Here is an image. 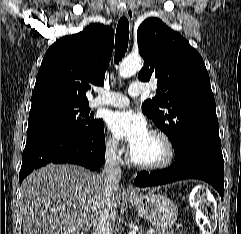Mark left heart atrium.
Listing matches in <instances>:
<instances>
[{
  "label": "left heart atrium",
  "mask_w": 241,
  "mask_h": 234,
  "mask_svg": "<svg viewBox=\"0 0 241 234\" xmlns=\"http://www.w3.org/2000/svg\"><path fill=\"white\" fill-rule=\"evenodd\" d=\"M108 127L117 138L127 142L131 153L149 135L145 119L131 111L112 113L108 119Z\"/></svg>",
  "instance_id": "obj_1"
}]
</instances>
